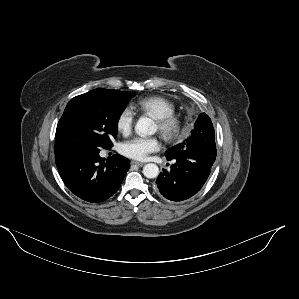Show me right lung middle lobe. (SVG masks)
Masks as SVG:
<instances>
[{
    "mask_svg": "<svg viewBox=\"0 0 299 299\" xmlns=\"http://www.w3.org/2000/svg\"><path fill=\"white\" fill-rule=\"evenodd\" d=\"M134 95L105 89L92 90L71 99L57 125L55 154L111 148L120 115Z\"/></svg>",
    "mask_w": 299,
    "mask_h": 299,
    "instance_id": "1",
    "label": "right lung middle lobe"
}]
</instances>
